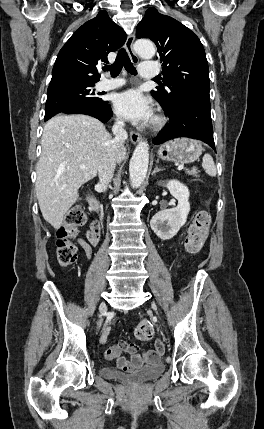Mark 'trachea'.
<instances>
[{
	"label": "trachea",
	"mask_w": 264,
	"mask_h": 429,
	"mask_svg": "<svg viewBox=\"0 0 264 429\" xmlns=\"http://www.w3.org/2000/svg\"><path fill=\"white\" fill-rule=\"evenodd\" d=\"M125 68V70L132 74L136 75L137 71L133 64L131 63V60L126 53L125 49H121L118 54L115 62L112 65L104 67V71H110L112 77H116L121 72L122 68Z\"/></svg>",
	"instance_id": "3493384b"
}]
</instances>
